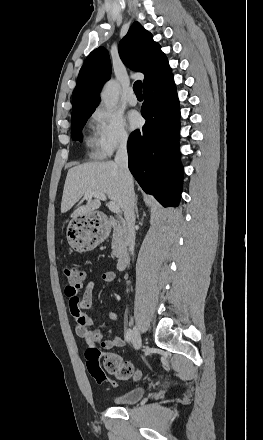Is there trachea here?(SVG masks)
<instances>
[{"instance_id": "1", "label": "trachea", "mask_w": 263, "mask_h": 440, "mask_svg": "<svg viewBox=\"0 0 263 440\" xmlns=\"http://www.w3.org/2000/svg\"><path fill=\"white\" fill-rule=\"evenodd\" d=\"M133 90H134L137 97H139V96L142 97V82L139 80L136 81L134 83Z\"/></svg>"}]
</instances>
